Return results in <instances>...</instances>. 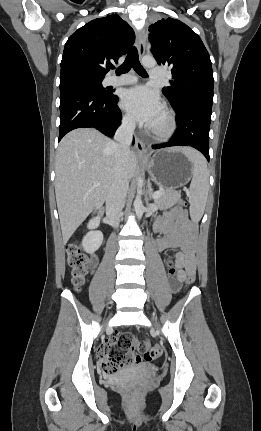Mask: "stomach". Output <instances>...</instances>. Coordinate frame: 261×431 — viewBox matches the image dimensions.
<instances>
[{
	"instance_id": "1",
	"label": "stomach",
	"mask_w": 261,
	"mask_h": 431,
	"mask_svg": "<svg viewBox=\"0 0 261 431\" xmlns=\"http://www.w3.org/2000/svg\"><path fill=\"white\" fill-rule=\"evenodd\" d=\"M145 165L153 182L168 190L186 185L193 176L192 162L173 149L156 152Z\"/></svg>"
}]
</instances>
